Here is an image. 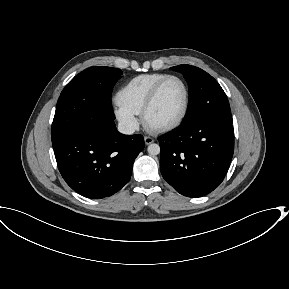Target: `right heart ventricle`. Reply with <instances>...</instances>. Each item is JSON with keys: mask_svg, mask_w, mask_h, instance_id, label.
<instances>
[{"mask_svg": "<svg viewBox=\"0 0 289 289\" xmlns=\"http://www.w3.org/2000/svg\"><path fill=\"white\" fill-rule=\"evenodd\" d=\"M165 76L167 74L148 73L132 78L118 91L117 102L134 114H141L142 107L151 89Z\"/></svg>", "mask_w": 289, "mask_h": 289, "instance_id": "right-heart-ventricle-1", "label": "right heart ventricle"}]
</instances>
